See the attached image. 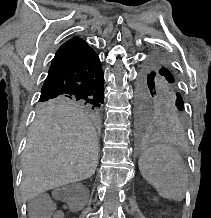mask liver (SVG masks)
I'll return each instance as SVG.
<instances>
[{"instance_id": "liver-1", "label": "liver", "mask_w": 211, "mask_h": 218, "mask_svg": "<svg viewBox=\"0 0 211 218\" xmlns=\"http://www.w3.org/2000/svg\"><path fill=\"white\" fill-rule=\"evenodd\" d=\"M22 196L32 200L58 186L93 176L98 140L89 118L75 108H44L28 132Z\"/></svg>"}]
</instances>
